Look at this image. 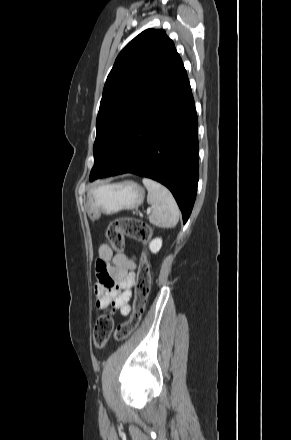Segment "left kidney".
Listing matches in <instances>:
<instances>
[{
  "label": "left kidney",
  "mask_w": 291,
  "mask_h": 440,
  "mask_svg": "<svg viewBox=\"0 0 291 440\" xmlns=\"http://www.w3.org/2000/svg\"><path fill=\"white\" fill-rule=\"evenodd\" d=\"M161 247H162V239L161 238H155L149 244V248L152 253H157L161 249Z\"/></svg>",
  "instance_id": "left-kidney-1"
}]
</instances>
